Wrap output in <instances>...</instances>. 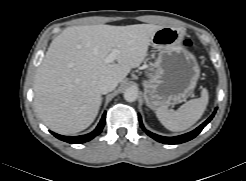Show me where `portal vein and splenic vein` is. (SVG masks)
I'll use <instances>...</instances> for the list:
<instances>
[{
    "label": "portal vein and splenic vein",
    "mask_w": 246,
    "mask_h": 181,
    "mask_svg": "<svg viewBox=\"0 0 246 181\" xmlns=\"http://www.w3.org/2000/svg\"><path fill=\"white\" fill-rule=\"evenodd\" d=\"M119 54L118 50H113L107 57H106V62L107 63H113L114 60L116 59V56Z\"/></svg>",
    "instance_id": "obj_1"
}]
</instances>
